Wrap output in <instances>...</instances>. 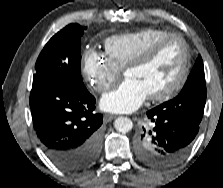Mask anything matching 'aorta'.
Segmentation results:
<instances>
[{"label": "aorta", "mask_w": 223, "mask_h": 188, "mask_svg": "<svg viewBox=\"0 0 223 188\" xmlns=\"http://www.w3.org/2000/svg\"><path fill=\"white\" fill-rule=\"evenodd\" d=\"M114 127L117 131L126 133L132 129L133 123H132L131 119H129L127 117H118L114 121Z\"/></svg>", "instance_id": "1"}]
</instances>
